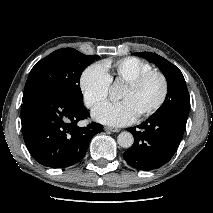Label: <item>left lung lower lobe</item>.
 Segmentation results:
<instances>
[{"label": "left lung lower lobe", "instance_id": "obj_1", "mask_svg": "<svg viewBox=\"0 0 213 213\" xmlns=\"http://www.w3.org/2000/svg\"><path fill=\"white\" fill-rule=\"evenodd\" d=\"M188 116L164 113L128 128L134 144L124 152L125 161L138 170H153L170 161L179 146Z\"/></svg>", "mask_w": 213, "mask_h": 213}]
</instances>
